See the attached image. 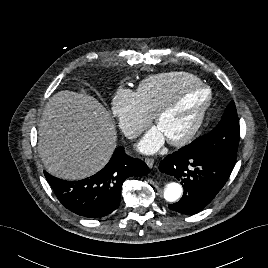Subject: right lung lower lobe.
<instances>
[{
  "mask_svg": "<svg viewBox=\"0 0 268 268\" xmlns=\"http://www.w3.org/2000/svg\"><path fill=\"white\" fill-rule=\"evenodd\" d=\"M148 172L142 160L126 155L123 147H117L108 164L89 178L65 181L45 171L44 174L64 207L80 216L98 218L118 208L125 179Z\"/></svg>",
  "mask_w": 268,
  "mask_h": 268,
  "instance_id": "obj_1",
  "label": "right lung lower lobe"
}]
</instances>
